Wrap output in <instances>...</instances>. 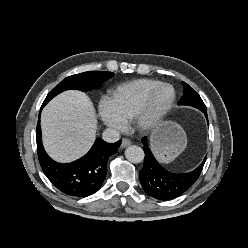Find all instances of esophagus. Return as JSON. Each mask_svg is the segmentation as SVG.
I'll use <instances>...</instances> for the list:
<instances>
[{
  "mask_svg": "<svg viewBox=\"0 0 248 248\" xmlns=\"http://www.w3.org/2000/svg\"><path fill=\"white\" fill-rule=\"evenodd\" d=\"M131 144V141L129 139H123L121 143L122 148H126Z\"/></svg>",
  "mask_w": 248,
  "mask_h": 248,
  "instance_id": "34e87169",
  "label": "esophagus"
}]
</instances>
